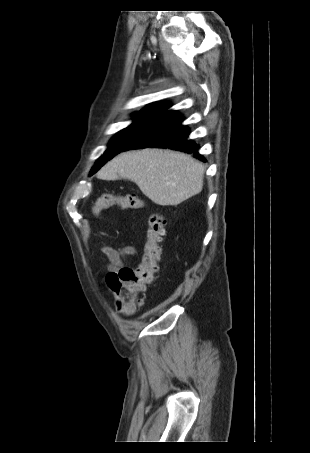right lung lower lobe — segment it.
Wrapping results in <instances>:
<instances>
[{
    "label": "right lung lower lobe",
    "mask_w": 310,
    "mask_h": 453,
    "mask_svg": "<svg viewBox=\"0 0 310 453\" xmlns=\"http://www.w3.org/2000/svg\"><path fill=\"white\" fill-rule=\"evenodd\" d=\"M182 121L183 117L177 111H167L122 151L158 146L194 154L196 158L205 161L204 157L197 152L199 146L189 139L190 130L182 125Z\"/></svg>",
    "instance_id": "98d812e1"
}]
</instances>
